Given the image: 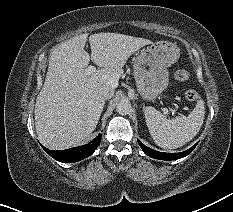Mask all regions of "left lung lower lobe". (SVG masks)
I'll return each mask as SVG.
<instances>
[{
    "label": "left lung lower lobe",
    "mask_w": 233,
    "mask_h": 212,
    "mask_svg": "<svg viewBox=\"0 0 233 212\" xmlns=\"http://www.w3.org/2000/svg\"><path fill=\"white\" fill-rule=\"evenodd\" d=\"M138 144L142 148L145 154L148 156L155 158V159H160V160H177L182 157L187 156L189 153L193 151V149L196 147L198 143H196L194 146H192L190 149L181 152V153H164V152H158L156 150L150 149L149 147L145 146L143 143H141L140 140H138Z\"/></svg>",
    "instance_id": "obj_1"
}]
</instances>
